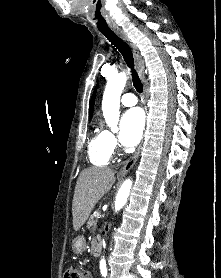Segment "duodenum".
Returning a JSON list of instances; mask_svg holds the SVG:
<instances>
[{
    "label": "duodenum",
    "instance_id": "1",
    "mask_svg": "<svg viewBox=\"0 0 221 278\" xmlns=\"http://www.w3.org/2000/svg\"><path fill=\"white\" fill-rule=\"evenodd\" d=\"M101 249H102V244L100 241H96L94 244H93V247H92V255L94 257H98L101 253Z\"/></svg>",
    "mask_w": 221,
    "mask_h": 278
}]
</instances>
